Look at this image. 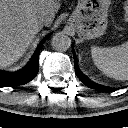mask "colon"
<instances>
[{
    "label": "colon",
    "instance_id": "obj_1",
    "mask_svg": "<svg viewBox=\"0 0 128 128\" xmlns=\"http://www.w3.org/2000/svg\"><path fill=\"white\" fill-rule=\"evenodd\" d=\"M123 17H124V20L128 23V0H124Z\"/></svg>",
    "mask_w": 128,
    "mask_h": 128
}]
</instances>
